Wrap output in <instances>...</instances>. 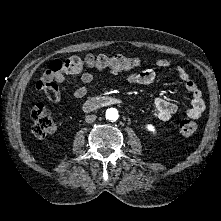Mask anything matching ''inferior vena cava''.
<instances>
[{"label":"inferior vena cava","instance_id":"inferior-vena-cava-1","mask_svg":"<svg viewBox=\"0 0 221 221\" xmlns=\"http://www.w3.org/2000/svg\"><path fill=\"white\" fill-rule=\"evenodd\" d=\"M97 116L96 115H87L85 117L86 123H92L96 120Z\"/></svg>","mask_w":221,"mask_h":221}]
</instances>
